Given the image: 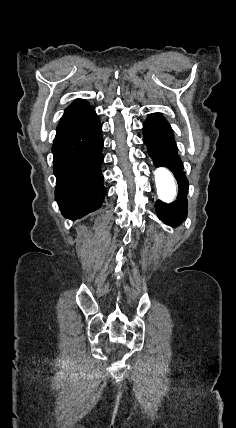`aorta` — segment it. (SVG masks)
<instances>
[{
    "instance_id": "obj_1",
    "label": "aorta",
    "mask_w": 236,
    "mask_h": 428,
    "mask_svg": "<svg viewBox=\"0 0 236 428\" xmlns=\"http://www.w3.org/2000/svg\"><path fill=\"white\" fill-rule=\"evenodd\" d=\"M154 176L159 199L165 203L173 201L177 193L173 174L167 168L160 167L155 170Z\"/></svg>"
}]
</instances>
